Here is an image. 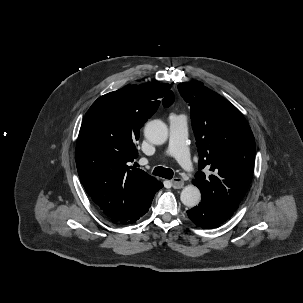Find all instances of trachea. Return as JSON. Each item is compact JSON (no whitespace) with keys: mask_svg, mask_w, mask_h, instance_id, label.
I'll return each mask as SVG.
<instances>
[{"mask_svg":"<svg viewBox=\"0 0 303 303\" xmlns=\"http://www.w3.org/2000/svg\"><path fill=\"white\" fill-rule=\"evenodd\" d=\"M153 174L156 175V176H159V177H163V178H166V179H172L174 173H173V170L169 169V168H164V167H156L154 170H153Z\"/></svg>","mask_w":303,"mask_h":303,"instance_id":"1","label":"trachea"}]
</instances>
